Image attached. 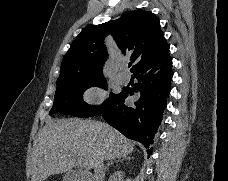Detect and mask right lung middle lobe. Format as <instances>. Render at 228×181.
<instances>
[{"instance_id":"dd1d6c3e","label":"right lung middle lobe","mask_w":228,"mask_h":181,"mask_svg":"<svg viewBox=\"0 0 228 181\" xmlns=\"http://www.w3.org/2000/svg\"><path fill=\"white\" fill-rule=\"evenodd\" d=\"M91 86L107 88V83L104 77H100L58 84L50 114L60 112L74 117H93L101 114L120 95V93H111L109 99L102 105L91 106L82 99L83 92Z\"/></svg>"}]
</instances>
